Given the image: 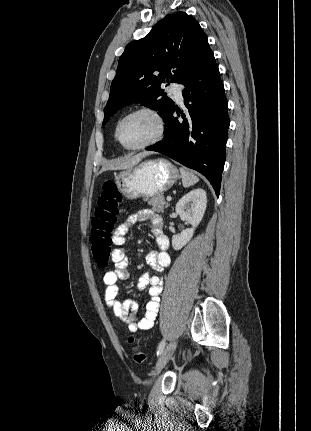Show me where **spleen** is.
Returning <instances> with one entry per match:
<instances>
[{
  "label": "spleen",
  "instance_id": "3e777b00",
  "mask_svg": "<svg viewBox=\"0 0 311 431\" xmlns=\"http://www.w3.org/2000/svg\"><path fill=\"white\" fill-rule=\"evenodd\" d=\"M181 174V180L184 188H190L199 182V178L193 174V172H188L185 168H179Z\"/></svg>",
  "mask_w": 311,
  "mask_h": 431
}]
</instances>
